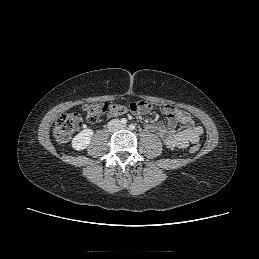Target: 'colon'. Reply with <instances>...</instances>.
<instances>
[{
    "mask_svg": "<svg viewBox=\"0 0 259 259\" xmlns=\"http://www.w3.org/2000/svg\"><path fill=\"white\" fill-rule=\"evenodd\" d=\"M139 103H145L148 108V103L144 101L132 102L128 107L123 105L108 104V103H88L83 106L87 120L91 123H97L106 116H120L127 111L139 112L147 108L139 106ZM135 104H138L139 110H136ZM134 105V108H131ZM83 124L82 117L77 112L63 113L56 119L53 134L58 143L64 144L68 142L71 135L81 128ZM199 150V145L194 144L190 147L191 153H196Z\"/></svg>",
    "mask_w": 259,
    "mask_h": 259,
    "instance_id": "5ec220e1",
    "label": "colon"
}]
</instances>
